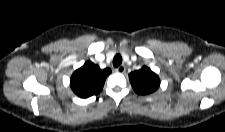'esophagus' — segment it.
<instances>
[{
  "label": "esophagus",
  "instance_id": "esophagus-1",
  "mask_svg": "<svg viewBox=\"0 0 225 132\" xmlns=\"http://www.w3.org/2000/svg\"><path fill=\"white\" fill-rule=\"evenodd\" d=\"M125 66L124 65H120L118 68H116V72L118 73H124L125 72Z\"/></svg>",
  "mask_w": 225,
  "mask_h": 132
}]
</instances>
